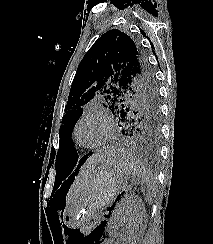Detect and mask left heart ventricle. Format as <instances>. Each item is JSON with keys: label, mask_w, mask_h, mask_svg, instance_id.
Here are the masks:
<instances>
[{"label": "left heart ventricle", "mask_w": 213, "mask_h": 244, "mask_svg": "<svg viewBox=\"0 0 213 244\" xmlns=\"http://www.w3.org/2000/svg\"><path fill=\"white\" fill-rule=\"evenodd\" d=\"M106 135V125L98 118L85 120L78 129L80 141L87 145H94L100 142Z\"/></svg>", "instance_id": "1"}]
</instances>
